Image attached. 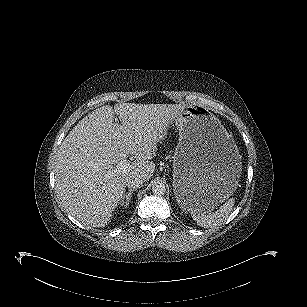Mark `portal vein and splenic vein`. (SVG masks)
Here are the masks:
<instances>
[{"instance_id": "1", "label": "portal vein and splenic vein", "mask_w": 307, "mask_h": 307, "mask_svg": "<svg viewBox=\"0 0 307 307\" xmlns=\"http://www.w3.org/2000/svg\"><path fill=\"white\" fill-rule=\"evenodd\" d=\"M129 169H130V164L128 162L124 161V162L119 163L114 169L108 170L106 172L105 177L109 178V177L116 175V174L118 175V174H121V173H125Z\"/></svg>"}]
</instances>
